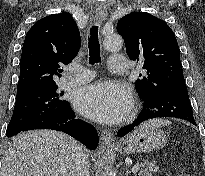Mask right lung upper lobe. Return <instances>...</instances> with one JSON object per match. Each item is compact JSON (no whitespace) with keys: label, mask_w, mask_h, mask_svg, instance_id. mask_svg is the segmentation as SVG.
I'll use <instances>...</instances> for the list:
<instances>
[{"label":"right lung upper lobe","mask_w":205,"mask_h":176,"mask_svg":"<svg viewBox=\"0 0 205 176\" xmlns=\"http://www.w3.org/2000/svg\"><path fill=\"white\" fill-rule=\"evenodd\" d=\"M80 43L79 30L70 13L37 21L23 44L17 95L56 86L63 67L76 56Z\"/></svg>","instance_id":"cb5924a9"}]
</instances>
